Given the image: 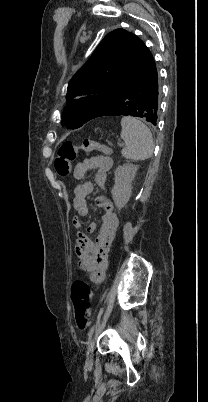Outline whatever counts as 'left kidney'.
Returning a JSON list of instances; mask_svg holds the SVG:
<instances>
[{
  "label": "left kidney",
  "instance_id": "1",
  "mask_svg": "<svg viewBox=\"0 0 208 402\" xmlns=\"http://www.w3.org/2000/svg\"><path fill=\"white\" fill-rule=\"evenodd\" d=\"M137 170L138 166H134V164H123V166H118L114 172L115 184L111 194L118 210L125 208L131 198L132 180H134Z\"/></svg>",
  "mask_w": 208,
  "mask_h": 402
}]
</instances>
